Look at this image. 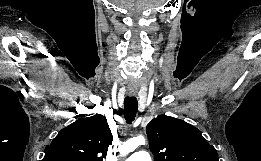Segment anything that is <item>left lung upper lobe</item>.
<instances>
[{"instance_id":"left-lung-upper-lobe-1","label":"left lung upper lobe","mask_w":261,"mask_h":161,"mask_svg":"<svg viewBox=\"0 0 261 161\" xmlns=\"http://www.w3.org/2000/svg\"><path fill=\"white\" fill-rule=\"evenodd\" d=\"M146 132L154 161H219L214 146L183 120L158 116L147 125Z\"/></svg>"}]
</instances>
